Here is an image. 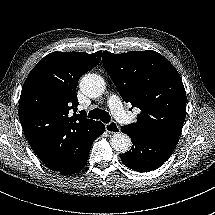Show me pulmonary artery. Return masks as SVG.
Wrapping results in <instances>:
<instances>
[{
	"label": "pulmonary artery",
	"instance_id": "e3ab8cb5",
	"mask_svg": "<svg viewBox=\"0 0 215 215\" xmlns=\"http://www.w3.org/2000/svg\"><path fill=\"white\" fill-rule=\"evenodd\" d=\"M106 107L111 110L112 117L120 125L132 126L135 123V116L127 112L116 97H109L106 100Z\"/></svg>",
	"mask_w": 215,
	"mask_h": 215
}]
</instances>
